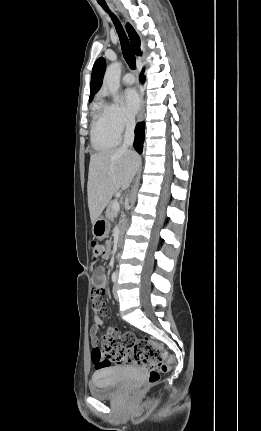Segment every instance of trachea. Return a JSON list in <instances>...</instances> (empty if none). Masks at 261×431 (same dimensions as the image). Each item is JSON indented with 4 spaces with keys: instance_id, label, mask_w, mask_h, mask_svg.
<instances>
[{
    "instance_id": "trachea-1",
    "label": "trachea",
    "mask_w": 261,
    "mask_h": 431,
    "mask_svg": "<svg viewBox=\"0 0 261 431\" xmlns=\"http://www.w3.org/2000/svg\"><path fill=\"white\" fill-rule=\"evenodd\" d=\"M100 5L102 6V8L108 12L114 22V25L116 27L117 33L120 37V42H121V48H122V53H123V57L125 58V61L127 62V64L129 65V67L131 69H135L136 68V59H135V55L134 52L132 50V47L127 39V36L125 35V32L122 28V25L120 24L119 20L117 19V17L110 12V10L108 9V6L105 3H100Z\"/></svg>"
}]
</instances>
